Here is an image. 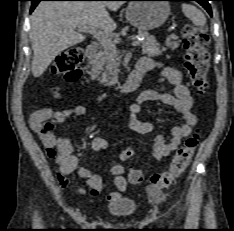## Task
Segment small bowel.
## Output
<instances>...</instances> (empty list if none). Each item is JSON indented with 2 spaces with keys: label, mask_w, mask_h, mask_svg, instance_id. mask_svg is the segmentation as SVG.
Masks as SVG:
<instances>
[{
  "label": "small bowel",
  "mask_w": 234,
  "mask_h": 231,
  "mask_svg": "<svg viewBox=\"0 0 234 231\" xmlns=\"http://www.w3.org/2000/svg\"><path fill=\"white\" fill-rule=\"evenodd\" d=\"M140 64H146L152 69H160L163 76L173 86V93H161L155 90H144L130 105L129 127L136 133L149 134L154 131V126L150 122L139 120L136 115L140 111L142 104L146 102H160L174 107L182 117V123L172 128L171 138L167 142L163 135L157 134L153 140L152 155L155 160H161L178 149L182 140L192 134L197 124V117L192 111L193 98L188 87L183 83L182 73L179 69L166 66L152 58L144 57L139 60ZM86 113L84 106H76L72 110L52 112L44 108L36 110L30 117L32 130L40 137L50 158H55L58 165L57 178L60 185L65 189H70L68 175L76 172L77 175L85 180L82 187L76 190L79 194L98 195L103 182L99 175L92 173L88 168L80 166L79 155L73 152L71 140L67 136L55 138L53 130L55 124L63 122L70 115H83ZM90 148L94 151H106L108 141L105 137L97 136L90 141ZM111 172L114 176L116 191L108 194L107 200L114 202L119 199L120 194L127 189V182L124 178L125 169L117 161H112Z\"/></svg>",
  "instance_id": "obj_1"
}]
</instances>
